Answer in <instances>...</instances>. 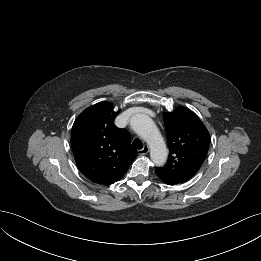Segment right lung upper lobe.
Listing matches in <instances>:
<instances>
[{
	"mask_svg": "<svg viewBox=\"0 0 261 261\" xmlns=\"http://www.w3.org/2000/svg\"><path fill=\"white\" fill-rule=\"evenodd\" d=\"M110 102H99L75 120L71 146L79 170L97 184H112L128 170L137 156L130 134L114 125L118 115Z\"/></svg>",
	"mask_w": 261,
	"mask_h": 261,
	"instance_id": "1",
	"label": "right lung upper lobe"
}]
</instances>
